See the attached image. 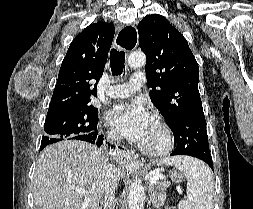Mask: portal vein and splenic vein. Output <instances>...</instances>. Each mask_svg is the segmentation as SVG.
Listing matches in <instances>:
<instances>
[{
    "label": "portal vein and splenic vein",
    "instance_id": "1",
    "mask_svg": "<svg viewBox=\"0 0 253 209\" xmlns=\"http://www.w3.org/2000/svg\"><path fill=\"white\" fill-rule=\"evenodd\" d=\"M163 179V175L162 174H156L154 176H152V178L150 179V185H154L156 182H158L159 180ZM77 193L80 194H96L95 192H88L85 189L82 188H76L75 190ZM179 192L181 193V190H179Z\"/></svg>",
    "mask_w": 253,
    "mask_h": 209
}]
</instances>
